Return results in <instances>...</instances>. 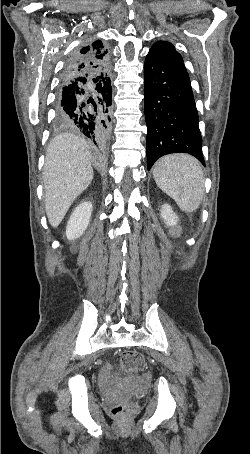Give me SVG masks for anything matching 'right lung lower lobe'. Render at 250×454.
<instances>
[{
	"instance_id": "obj_1",
	"label": "right lung lower lobe",
	"mask_w": 250,
	"mask_h": 454,
	"mask_svg": "<svg viewBox=\"0 0 250 454\" xmlns=\"http://www.w3.org/2000/svg\"><path fill=\"white\" fill-rule=\"evenodd\" d=\"M90 43L77 49L67 65L80 58L81 51L89 48ZM101 52L106 53L107 59L106 46ZM86 88H93L91 96ZM111 95L109 70L99 74L85 70L71 76L63 73L56 96L58 124L80 131L97 147L104 149L110 136Z\"/></svg>"
}]
</instances>
